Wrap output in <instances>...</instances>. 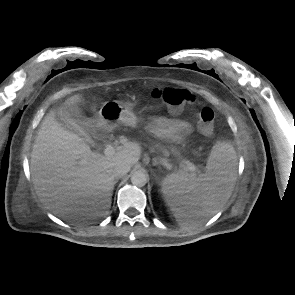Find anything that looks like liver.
Returning a JSON list of instances; mask_svg holds the SVG:
<instances>
[{"label": "liver", "instance_id": "obj_1", "mask_svg": "<svg viewBox=\"0 0 295 295\" xmlns=\"http://www.w3.org/2000/svg\"><path fill=\"white\" fill-rule=\"evenodd\" d=\"M81 95L66 100L76 105ZM141 148L125 142L112 156L92 152L77 134L63 128L49 112L43 119L31 152V176L36 194L55 215L63 218L98 216L111 206L113 168L138 163Z\"/></svg>", "mask_w": 295, "mask_h": 295}]
</instances>
